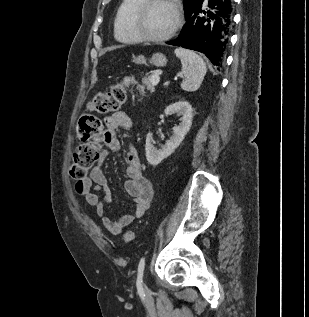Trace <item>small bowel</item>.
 Masks as SVG:
<instances>
[{
	"mask_svg": "<svg viewBox=\"0 0 309 317\" xmlns=\"http://www.w3.org/2000/svg\"><path fill=\"white\" fill-rule=\"evenodd\" d=\"M105 125L106 130L102 136L105 148L99 154L98 164L91 169L86 178L76 183L75 189L79 195L85 198L88 205L95 208L104 227L111 234L116 235L145 214L153 198V188L150 181L143 175L138 151L131 146L126 155L124 188L133 200V210L116 221L105 215V207L111 201V194L101 164L109 150L118 152L121 148L117 130L129 131L132 123L126 113L116 112L105 118Z\"/></svg>",
	"mask_w": 309,
	"mask_h": 317,
	"instance_id": "obj_1",
	"label": "small bowel"
}]
</instances>
